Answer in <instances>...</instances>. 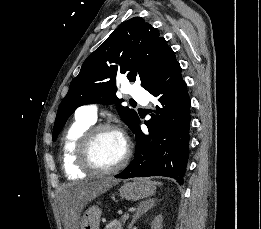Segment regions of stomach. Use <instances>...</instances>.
<instances>
[{
  "mask_svg": "<svg viewBox=\"0 0 261 229\" xmlns=\"http://www.w3.org/2000/svg\"><path fill=\"white\" fill-rule=\"evenodd\" d=\"M155 191V183L150 179H135L134 183H125L121 187L120 197L126 201H140L145 197H152ZM101 213L98 207L87 209L81 219V229H99Z\"/></svg>",
  "mask_w": 261,
  "mask_h": 229,
  "instance_id": "1",
  "label": "stomach"
}]
</instances>
